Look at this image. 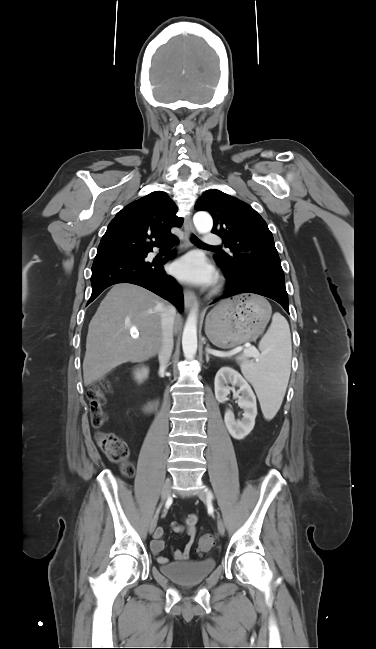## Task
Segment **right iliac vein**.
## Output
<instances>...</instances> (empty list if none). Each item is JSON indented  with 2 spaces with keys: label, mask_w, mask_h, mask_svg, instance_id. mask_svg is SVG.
<instances>
[{
  "label": "right iliac vein",
  "mask_w": 376,
  "mask_h": 649,
  "mask_svg": "<svg viewBox=\"0 0 376 649\" xmlns=\"http://www.w3.org/2000/svg\"><path fill=\"white\" fill-rule=\"evenodd\" d=\"M171 485H172L171 479L168 478L165 481V483H164V485L162 487V491H161V498H162L163 501L168 499V497L170 495V492H171ZM156 526H157V516L155 515L152 518L151 522H150V526H149V533L150 534H152L154 532Z\"/></svg>",
  "instance_id": "obj_1"
}]
</instances>
